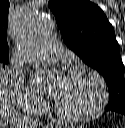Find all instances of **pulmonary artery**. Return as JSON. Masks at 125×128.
Here are the masks:
<instances>
[{"mask_svg": "<svg viewBox=\"0 0 125 128\" xmlns=\"http://www.w3.org/2000/svg\"><path fill=\"white\" fill-rule=\"evenodd\" d=\"M63 54V47L55 40H49L42 44L35 53L36 57L41 60H56Z\"/></svg>", "mask_w": 125, "mask_h": 128, "instance_id": "e3ab8cb5", "label": "pulmonary artery"}]
</instances>
